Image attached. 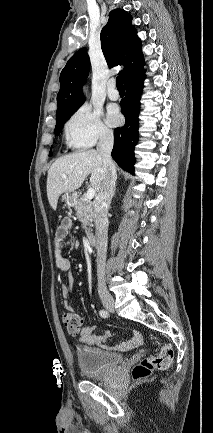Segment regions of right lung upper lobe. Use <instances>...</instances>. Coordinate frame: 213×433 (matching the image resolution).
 <instances>
[{"instance_id": "1", "label": "right lung upper lobe", "mask_w": 213, "mask_h": 433, "mask_svg": "<svg viewBox=\"0 0 213 433\" xmlns=\"http://www.w3.org/2000/svg\"><path fill=\"white\" fill-rule=\"evenodd\" d=\"M101 48L109 67L123 65L119 73L123 81L142 63L141 40L132 25V16L122 9L109 13L107 24L102 28ZM90 60L87 49L77 51L67 62L60 74V90L57 95L56 119L82 105L85 101L81 91L88 72Z\"/></svg>"}]
</instances>
